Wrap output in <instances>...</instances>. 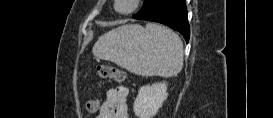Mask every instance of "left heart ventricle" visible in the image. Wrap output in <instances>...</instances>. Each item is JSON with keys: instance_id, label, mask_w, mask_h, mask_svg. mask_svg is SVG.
<instances>
[{"instance_id": "left-heart-ventricle-1", "label": "left heart ventricle", "mask_w": 273, "mask_h": 118, "mask_svg": "<svg viewBox=\"0 0 273 118\" xmlns=\"http://www.w3.org/2000/svg\"><path fill=\"white\" fill-rule=\"evenodd\" d=\"M128 6V4L126 2H122L120 4V8H126Z\"/></svg>"}]
</instances>
